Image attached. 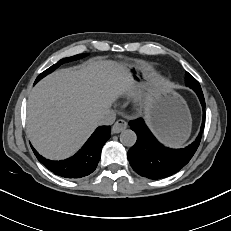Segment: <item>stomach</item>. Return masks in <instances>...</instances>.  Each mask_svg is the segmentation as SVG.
<instances>
[{
    "label": "stomach",
    "instance_id": "1",
    "mask_svg": "<svg viewBox=\"0 0 231 231\" xmlns=\"http://www.w3.org/2000/svg\"><path fill=\"white\" fill-rule=\"evenodd\" d=\"M124 62L131 77L147 91L146 117L152 131L167 145H182L191 131V115L184 99L144 61Z\"/></svg>",
    "mask_w": 231,
    "mask_h": 231
}]
</instances>
